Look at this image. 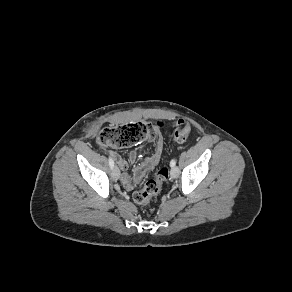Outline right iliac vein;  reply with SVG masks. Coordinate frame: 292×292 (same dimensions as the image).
I'll return each mask as SVG.
<instances>
[{
    "label": "right iliac vein",
    "instance_id": "right-iliac-vein-1",
    "mask_svg": "<svg viewBox=\"0 0 292 292\" xmlns=\"http://www.w3.org/2000/svg\"><path fill=\"white\" fill-rule=\"evenodd\" d=\"M120 176L119 169L117 167H114L112 170V177L113 179L117 180Z\"/></svg>",
    "mask_w": 292,
    "mask_h": 292
}]
</instances>
